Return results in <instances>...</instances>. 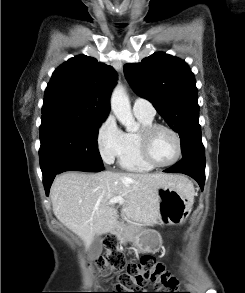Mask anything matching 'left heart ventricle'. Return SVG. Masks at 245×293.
<instances>
[{
  "label": "left heart ventricle",
  "mask_w": 245,
  "mask_h": 293,
  "mask_svg": "<svg viewBox=\"0 0 245 293\" xmlns=\"http://www.w3.org/2000/svg\"><path fill=\"white\" fill-rule=\"evenodd\" d=\"M177 151L176 142L170 132L158 129L151 138L150 154L158 163L171 161Z\"/></svg>",
  "instance_id": "left-heart-ventricle-1"
}]
</instances>
